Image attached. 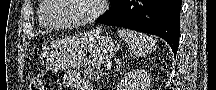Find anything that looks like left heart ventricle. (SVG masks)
<instances>
[{
	"mask_svg": "<svg viewBox=\"0 0 216 90\" xmlns=\"http://www.w3.org/2000/svg\"><path fill=\"white\" fill-rule=\"evenodd\" d=\"M66 1L65 10H60L55 22L71 25L72 21H81L91 15L97 8L98 0H59Z\"/></svg>",
	"mask_w": 216,
	"mask_h": 90,
	"instance_id": "left-heart-ventricle-1",
	"label": "left heart ventricle"
}]
</instances>
